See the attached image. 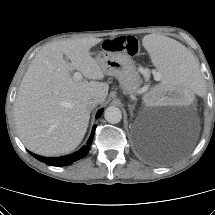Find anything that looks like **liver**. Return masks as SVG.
I'll list each match as a JSON object with an SVG mask.
<instances>
[{
    "label": "liver",
    "instance_id": "obj_1",
    "mask_svg": "<svg viewBox=\"0 0 215 215\" xmlns=\"http://www.w3.org/2000/svg\"><path fill=\"white\" fill-rule=\"evenodd\" d=\"M101 41L90 37L51 42L35 55L14 103L17 132L28 150L56 156L81 143L90 119L87 102L98 98L103 103L108 95L109 85L100 82L105 73L90 53ZM73 70L91 81L75 79Z\"/></svg>",
    "mask_w": 215,
    "mask_h": 215
}]
</instances>
